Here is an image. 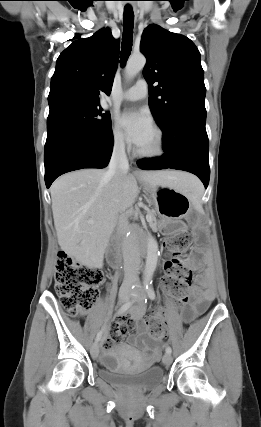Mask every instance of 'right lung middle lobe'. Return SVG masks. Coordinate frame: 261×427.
<instances>
[{"mask_svg":"<svg viewBox=\"0 0 261 427\" xmlns=\"http://www.w3.org/2000/svg\"><path fill=\"white\" fill-rule=\"evenodd\" d=\"M99 105L67 104L50 109L47 133L70 130L87 135L111 131V118Z\"/></svg>","mask_w":261,"mask_h":427,"instance_id":"dd1d6c3e","label":"right lung middle lobe"}]
</instances>
